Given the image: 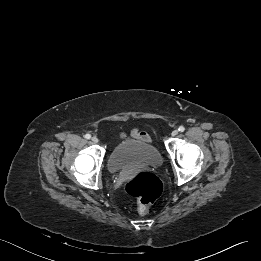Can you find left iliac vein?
<instances>
[{
	"label": "left iliac vein",
	"mask_w": 261,
	"mask_h": 261,
	"mask_svg": "<svg viewBox=\"0 0 261 261\" xmlns=\"http://www.w3.org/2000/svg\"><path fill=\"white\" fill-rule=\"evenodd\" d=\"M177 134H178V130H176V129L173 130L172 133H171V135H172L173 137L176 136Z\"/></svg>",
	"instance_id": "1"
}]
</instances>
